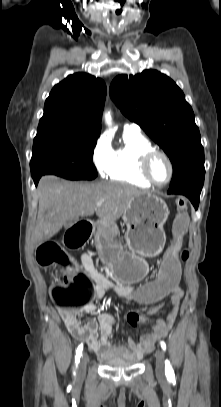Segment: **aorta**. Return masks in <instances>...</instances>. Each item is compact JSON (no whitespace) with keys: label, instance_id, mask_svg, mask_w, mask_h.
<instances>
[{"label":"aorta","instance_id":"762f6f07","mask_svg":"<svg viewBox=\"0 0 221 407\" xmlns=\"http://www.w3.org/2000/svg\"><path fill=\"white\" fill-rule=\"evenodd\" d=\"M105 120H106L107 125L111 126L112 123H111V114H110V112H107L105 114Z\"/></svg>","mask_w":221,"mask_h":407}]
</instances>
